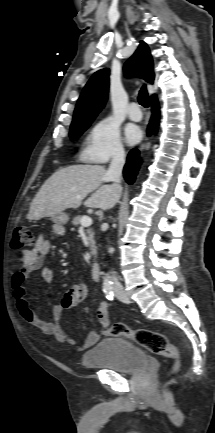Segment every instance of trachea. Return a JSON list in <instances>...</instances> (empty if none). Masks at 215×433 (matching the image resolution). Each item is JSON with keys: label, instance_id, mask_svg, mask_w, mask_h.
I'll return each instance as SVG.
<instances>
[{"label": "trachea", "instance_id": "obj_1", "mask_svg": "<svg viewBox=\"0 0 215 433\" xmlns=\"http://www.w3.org/2000/svg\"><path fill=\"white\" fill-rule=\"evenodd\" d=\"M138 101L145 108L149 106L148 92L145 85H143L141 90L139 91Z\"/></svg>", "mask_w": 215, "mask_h": 433}]
</instances>
